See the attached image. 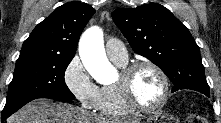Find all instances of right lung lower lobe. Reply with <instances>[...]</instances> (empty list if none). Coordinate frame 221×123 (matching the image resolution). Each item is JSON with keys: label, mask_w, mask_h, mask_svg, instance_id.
I'll return each instance as SVG.
<instances>
[{"label": "right lung lower lobe", "mask_w": 221, "mask_h": 123, "mask_svg": "<svg viewBox=\"0 0 221 123\" xmlns=\"http://www.w3.org/2000/svg\"><path fill=\"white\" fill-rule=\"evenodd\" d=\"M6 118H7L6 116L2 117L3 120H5Z\"/></svg>", "instance_id": "98d812e1"}]
</instances>
